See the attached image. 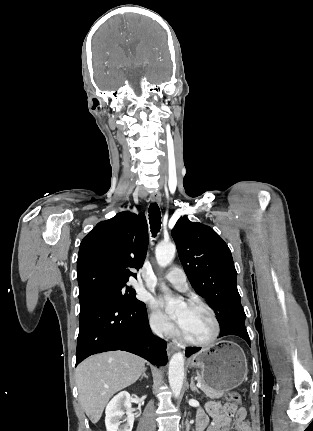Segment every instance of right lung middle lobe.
<instances>
[{
    "instance_id": "dd1d6c3e",
    "label": "right lung middle lobe",
    "mask_w": 313,
    "mask_h": 431,
    "mask_svg": "<svg viewBox=\"0 0 313 431\" xmlns=\"http://www.w3.org/2000/svg\"><path fill=\"white\" fill-rule=\"evenodd\" d=\"M94 295L111 297L116 300L122 301L129 306L144 304L135 297V291L131 287H126V284L104 287L90 296ZM79 299L81 300L83 298Z\"/></svg>"
}]
</instances>
